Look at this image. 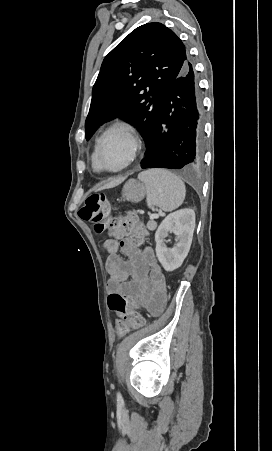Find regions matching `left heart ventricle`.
<instances>
[{
    "label": "left heart ventricle",
    "mask_w": 272,
    "mask_h": 451,
    "mask_svg": "<svg viewBox=\"0 0 272 451\" xmlns=\"http://www.w3.org/2000/svg\"><path fill=\"white\" fill-rule=\"evenodd\" d=\"M128 146L118 133L110 134L100 150L98 162L106 170L115 171L124 166L128 159Z\"/></svg>",
    "instance_id": "left-heart-ventricle-1"
}]
</instances>
